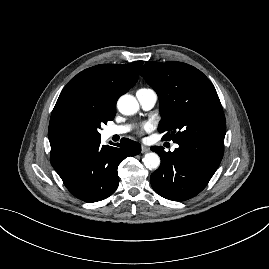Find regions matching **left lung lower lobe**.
I'll use <instances>...</instances> for the list:
<instances>
[{
	"label": "left lung lower lobe",
	"instance_id": "obj_1",
	"mask_svg": "<svg viewBox=\"0 0 269 269\" xmlns=\"http://www.w3.org/2000/svg\"><path fill=\"white\" fill-rule=\"evenodd\" d=\"M174 152L154 146L161 158L160 167L150 176L154 191L174 201H185L200 193L217 170L224 153L219 139H187L176 141Z\"/></svg>",
	"mask_w": 269,
	"mask_h": 269
}]
</instances>
